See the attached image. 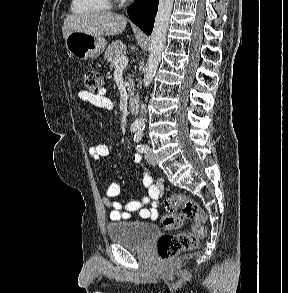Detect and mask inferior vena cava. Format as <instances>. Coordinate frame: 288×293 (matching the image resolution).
Masks as SVG:
<instances>
[{
    "label": "inferior vena cava",
    "mask_w": 288,
    "mask_h": 293,
    "mask_svg": "<svg viewBox=\"0 0 288 293\" xmlns=\"http://www.w3.org/2000/svg\"><path fill=\"white\" fill-rule=\"evenodd\" d=\"M144 112H145V105L142 104L140 114L142 115V114H144Z\"/></svg>",
    "instance_id": "obj_1"
}]
</instances>
